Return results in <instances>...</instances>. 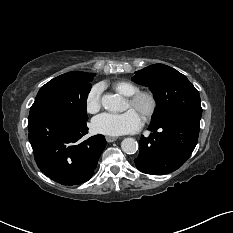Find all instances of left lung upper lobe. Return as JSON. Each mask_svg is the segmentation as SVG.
<instances>
[{"instance_id":"obj_1","label":"left lung upper lobe","mask_w":233,"mask_h":233,"mask_svg":"<svg viewBox=\"0 0 233 233\" xmlns=\"http://www.w3.org/2000/svg\"><path fill=\"white\" fill-rule=\"evenodd\" d=\"M132 80L154 94L157 107L152 121L179 112L202 113L198 91L183 74L167 65H150L135 72Z\"/></svg>"}]
</instances>
